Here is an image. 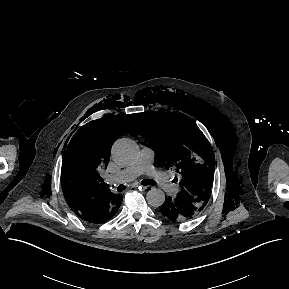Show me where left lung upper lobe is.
I'll return each instance as SVG.
<instances>
[{
    "label": "left lung upper lobe",
    "mask_w": 289,
    "mask_h": 289,
    "mask_svg": "<svg viewBox=\"0 0 289 289\" xmlns=\"http://www.w3.org/2000/svg\"><path fill=\"white\" fill-rule=\"evenodd\" d=\"M139 118L142 135L156 153L155 163L175 168L180 174L178 194L203 209L214 176V153L204 134L188 116L177 112L149 111Z\"/></svg>",
    "instance_id": "left-lung-upper-lobe-1"
}]
</instances>
